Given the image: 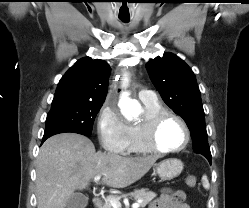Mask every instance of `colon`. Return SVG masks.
Instances as JSON below:
<instances>
[{
    "label": "colon",
    "mask_w": 249,
    "mask_h": 208,
    "mask_svg": "<svg viewBox=\"0 0 249 208\" xmlns=\"http://www.w3.org/2000/svg\"><path fill=\"white\" fill-rule=\"evenodd\" d=\"M196 178L194 176H188L186 178V184L189 186V187H194L196 185Z\"/></svg>",
    "instance_id": "1"
}]
</instances>
